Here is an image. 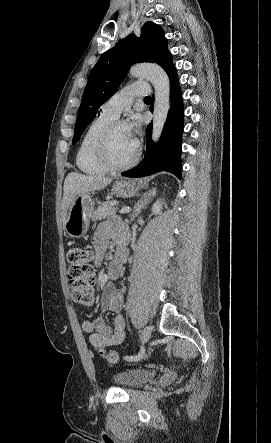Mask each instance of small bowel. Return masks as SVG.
<instances>
[{
	"instance_id": "c3829d8e",
	"label": "small bowel",
	"mask_w": 271,
	"mask_h": 443,
	"mask_svg": "<svg viewBox=\"0 0 271 443\" xmlns=\"http://www.w3.org/2000/svg\"><path fill=\"white\" fill-rule=\"evenodd\" d=\"M118 238V234L107 226L97 230L93 239L94 263L99 266L105 257L109 238ZM125 252L119 250L116 258L109 265V275L112 279L120 276L123 270ZM124 300V288L122 286L108 285L101 298V315L94 321L84 319L81 322L82 330L89 335V343L95 350L120 344L125 337V319L122 314ZM107 312L113 313L112 325H108L104 315Z\"/></svg>"
}]
</instances>
